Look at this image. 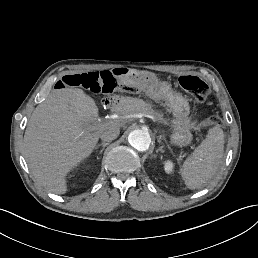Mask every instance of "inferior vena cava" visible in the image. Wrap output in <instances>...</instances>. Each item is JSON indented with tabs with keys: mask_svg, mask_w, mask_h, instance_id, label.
<instances>
[{
	"mask_svg": "<svg viewBox=\"0 0 258 258\" xmlns=\"http://www.w3.org/2000/svg\"><path fill=\"white\" fill-rule=\"evenodd\" d=\"M119 133H120V130L117 127L110 125L101 132L100 138L103 141H111L116 139Z\"/></svg>",
	"mask_w": 258,
	"mask_h": 258,
	"instance_id": "obj_1",
	"label": "inferior vena cava"
}]
</instances>
